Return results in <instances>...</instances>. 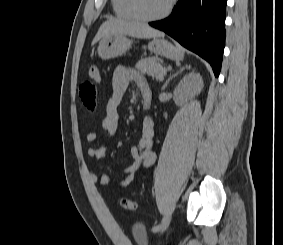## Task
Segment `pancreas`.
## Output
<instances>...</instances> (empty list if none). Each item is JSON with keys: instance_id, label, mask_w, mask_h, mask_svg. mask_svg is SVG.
Masks as SVG:
<instances>
[{"instance_id": "cf45deb5", "label": "pancreas", "mask_w": 283, "mask_h": 245, "mask_svg": "<svg viewBox=\"0 0 283 245\" xmlns=\"http://www.w3.org/2000/svg\"><path fill=\"white\" fill-rule=\"evenodd\" d=\"M135 68L137 71L143 74L151 75L159 81H161L164 77V69L159 63V59L156 57L141 59L138 63H136Z\"/></svg>"}]
</instances>
